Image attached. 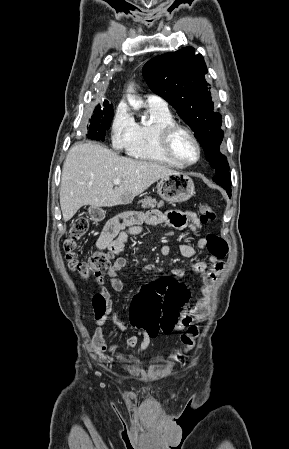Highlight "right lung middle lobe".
Returning a JSON list of instances; mask_svg holds the SVG:
<instances>
[{
	"mask_svg": "<svg viewBox=\"0 0 289 449\" xmlns=\"http://www.w3.org/2000/svg\"><path fill=\"white\" fill-rule=\"evenodd\" d=\"M112 119V105L108 102L103 103V108L98 105L95 108L94 114L90 120L87 137L92 140L104 141L106 131L110 128Z\"/></svg>",
	"mask_w": 289,
	"mask_h": 449,
	"instance_id": "obj_1",
	"label": "right lung middle lobe"
}]
</instances>
